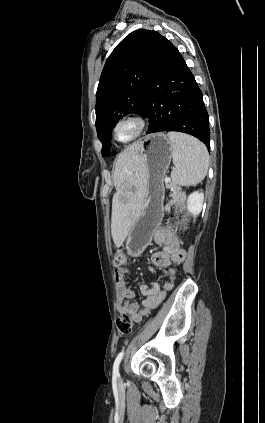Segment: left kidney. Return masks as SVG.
<instances>
[{
  "label": "left kidney",
  "mask_w": 265,
  "mask_h": 423,
  "mask_svg": "<svg viewBox=\"0 0 265 423\" xmlns=\"http://www.w3.org/2000/svg\"><path fill=\"white\" fill-rule=\"evenodd\" d=\"M204 193L202 191H195L191 193L186 202L188 213L192 216H197L203 206Z\"/></svg>",
  "instance_id": "left-kidney-1"
}]
</instances>
